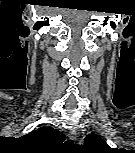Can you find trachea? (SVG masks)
<instances>
[{
    "instance_id": "1",
    "label": "trachea",
    "mask_w": 135,
    "mask_h": 153,
    "mask_svg": "<svg viewBox=\"0 0 135 153\" xmlns=\"http://www.w3.org/2000/svg\"><path fill=\"white\" fill-rule=\"evenodd\" d=\"M66 143H68V144H72L73 142H72L71 140H69V141H67Z\"/></svg>"
}]
</instances>
